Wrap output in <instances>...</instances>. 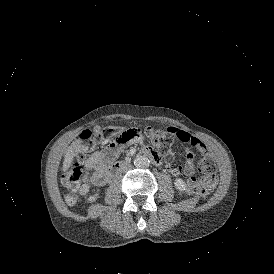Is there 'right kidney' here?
<instances>
[{"instance_id":"1","label":"right kidney","mask_w":274,"mask_h":274,"mask_svg":"<svg viewBox=\"0 0 274 274\" xmlns=\"http://www.w3.org/2000/svg\"><path fill=\"white\" fill-rule=\"evenodd\" d=\"M98 198V194H94L88 198L89 202H95Z\"/></svg>"}]
</instances>
